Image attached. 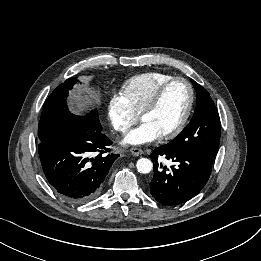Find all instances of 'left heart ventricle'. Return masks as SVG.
I'll use <instances>...</instances> for the list:
<instances>
[{
  "label": "left heart ventricle",
  "instance_id": "obj_1",
  "mask_svg": "<svg viewBox=\"0 0 261 261\" xmlns=\"http://www.w3.org/2000/svg\"><path fill=\"white\" fill-rule=\"evenodd\" d=\"M188 100L187 86L177 82L167 90L160 107L146 115L143 122L148 123L162 136L179 124L186 111Z\"/></svg>",
  "mask_w": 261,
  "mask_h": 261
}]
</instances>
